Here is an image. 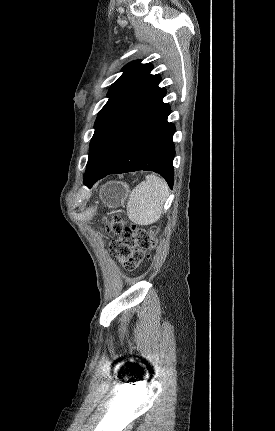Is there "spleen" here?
Instances as JSON below:
<instances>
[{
	"label": "spleen",
	"instance_id": "3e777b00",
	"mask_svg": "<svg viewBox=\"0 0 275 431\" xmlns=\"http://www.w3.org/2000/svg\"><path fill=\"white\" fill-rule=\"evenodd\" d=\"M168 193L169 188L164 179L153 174L147 175L146 180L129 194L126 207L129 219L139 225L157 222Z\"/></svg>",
	"mask_w": 275,
	"mask_h": 431
}]
</instances>
